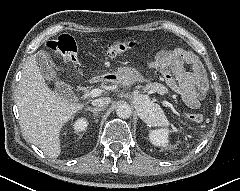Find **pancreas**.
I'll return each mask as SVG.
<instances>
[{"label":"pancreas","mask_w":240,"mask_h":191,"mask_svg":"<svg viewBox=\"0 0 240 191\" xmlns=\"http://www.w3.org/2000/svg\"><path fill=\"white\" fill-rule=\"evenodd\" d=\"M143 89L144 90L150 89L151 91L157 92L161 95H164L165 93L168 92V89L164 85L157 82H154V83L149 82Z\"/></svg>","instance_id":"cf45deb5"}]
</instances>
